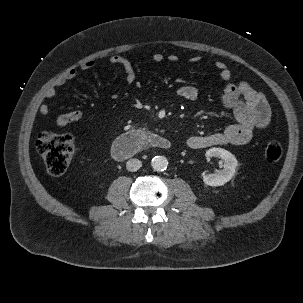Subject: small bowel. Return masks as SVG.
Wrapping results in <instances>:
<instances>
[{"label": "small bowel", "instance_id": "c3829d8e", "mask_svg": "<svg viewBox=\"0 0 303 303\" xmlns=\"http://www.w3.org/2000/svg\"><path fill=\"white\" fill-rule=\"evenodd\" d=\"M152 60L155 63L164 61L176 63L178 62V57L175 54L165 56L162 53H155L152 55ZM199 61V56H194L189 60L192 64ZM110 62L124 70L125 80L128 85L136 83L134 65L128 58L114 55L110 58ZM94 66L95 62L88 60L81 65V70L89 71ZM214 67L218 70L220 78L226 82L221 100L226 107L232 108L235 122L217 133L189 137L186 140V144L191 149H203L227 144L242 145L251 140L256 130L264 129L270 123L271 114L265 96L255 91L247 82H232V73L224 62L216 61L214 62ZM76 76L77 71L70 69L56 81L53 87L46 91L45 96L53 98L56 95V87L65 85ZM177 94L185 100L194 101L199 97V90L196 86L187 84L180 86L177 89ZM39 112L43 116H48L49 107L46 104H42ZM82 118L83 114L81 111H70L59 115L56 118V124L57 126H66Z\"/></svg>", "mask_w": 303, "mask_h": 303}]
</instances>
